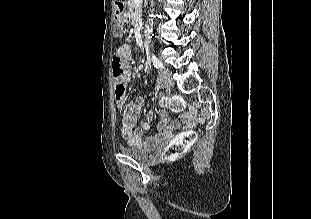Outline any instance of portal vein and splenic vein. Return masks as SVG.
Instances as JSON below:
<instances>
[{"label":"portal vein and splenic vein","instance_id":"portal-vein-and-splenic-vein-1","mask_svg":"<svg viewBox=\"0 0 311 219\" xmlns=\"http://www.w3.org/2000/svg\"><path fill=\"white\" fill-rule=\"evenodd\" d=\"M134 1L137 5H140L142 3V0H134Z\"/></svg>","mask_w":311,"mask_h":219}]
</instances>
